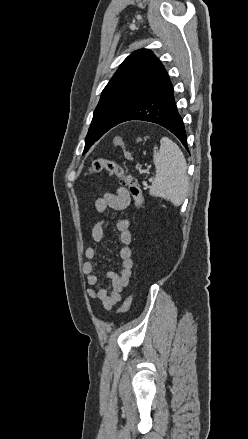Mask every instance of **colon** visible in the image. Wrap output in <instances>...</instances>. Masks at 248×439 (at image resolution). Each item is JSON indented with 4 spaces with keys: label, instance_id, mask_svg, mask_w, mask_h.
<instances>
[{
    "label": "colon",
    "instance_id": "obj_1",
    "mask_svg": "<svg viewBox=\"0 0 248 439\" xmlns=\"http://www.w3.org/2000/svg\"><path fill=\"white\" fill-rule=\"evenodd\" d=\"M107 172L109 176L117 178L122 185L127 186L129 193L131 194L135 205L138 208L143 207V196L140 185L135 177L129 174L119 163L107 158H97L92 161L89 166V172L91 174H101ZM132 302V295L129 294L124 299L119 313L125 314Z\"/></svg>",
    "mask_w": 248,
    "mask_h": 439
}]
</instances>
